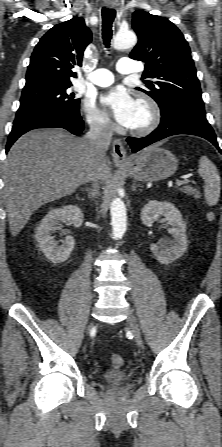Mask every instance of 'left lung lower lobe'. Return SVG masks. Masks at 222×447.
<instances>
[{
    "label": "left lung lower lobe",
    "mask_w": 222,
    "mask_h": 447,
    "mask_svg": "<svg viewBox=\"0 0 222 447\" xmlns=\"http://www.w3.org/2000/svg\"><path fill=\"white\" fill-rule=\"evenodd\" d=\"M161 115L160 125L151 134L143 138H127L132 152L135 153L168 136L190 134L207 139L222 153L216 135L206 119L205 112L196 111L189 107L173 106Z\"/></svg>",
    "instance_id": "left-lung-lower-lobe-1"
}]
</instances>
